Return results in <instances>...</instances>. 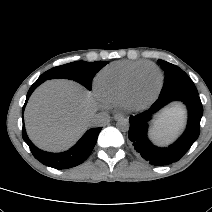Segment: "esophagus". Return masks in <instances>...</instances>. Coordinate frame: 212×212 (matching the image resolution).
Returning <instances> with one entry per match:
<instances>
[{
    "label": "esophagus",
    "mask_w": 212,
    "mask_h": 212,
    "mask_svg": "<svg viewBox=\"0 0 212 212\" xmlns=\"http://www.w3.org/2000/svg\"><path fill=\"white\" fill-rule=\"evenodd\" d=\"M124 116H123V114H121V113H115L114 115H113V118H114V120H120V119H122Z\"/></svg>",
    "instance_id": "1"
}]
</instances>
